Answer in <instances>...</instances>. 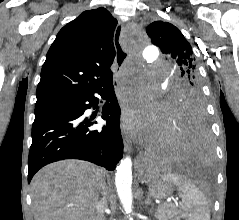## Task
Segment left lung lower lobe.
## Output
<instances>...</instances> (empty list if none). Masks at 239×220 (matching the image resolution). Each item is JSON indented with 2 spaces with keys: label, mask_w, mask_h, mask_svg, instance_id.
<instances>
[{
  "label": "left lung lower lobe",
  "mask_w": 239,
  "mask_h": 220,
  "mask_svg": "<svg viewBox=\"0 0 239 220\" xmlns=\"http://www.w3.org/2000/svg\"><path fill=\"white\" fill-rule=\"evenodd\" d=\"M169 143L158 159V165L198 164L212 158L209 128L203 110L166 113Z\"/></svg>",
  "instance_id": "obj_1"
}]
</instances>
